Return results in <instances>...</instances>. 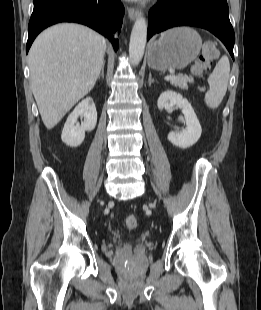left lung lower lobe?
<instances>
[{"label":"left lung lower lobe","mask_w":261,"mask_h":310,"mask_svg":"<svg viewBox=\"0 0 261 310\" xmlns=\"http://www.w3.org/2000/svg\"><path fill=\"white\" fill-rule=\"evenodd\" d=\"M175 26L207 29L224 43L234 59L235 34L226 0H158L149 12L147 40Z\"/></svg>","instance_id":"left-lung-lower-lobe-1"}]
</instances>
